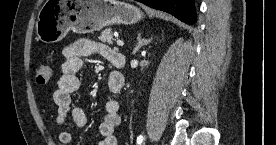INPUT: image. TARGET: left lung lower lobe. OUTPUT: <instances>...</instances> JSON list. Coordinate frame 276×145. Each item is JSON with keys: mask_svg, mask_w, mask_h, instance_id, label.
Returning <instances> with one entry per match:
<instances>
[{"mask_svg": "<svg viewBox=\"0 0 276 145\" xmlns=\"http://www.w3.org/2000/svg\"><path fill=\"white\" fill-rule=\"evenodd\" d=\"M151 8L173 14L187 24L195 22L194 0H136Z\"/></svg>", "mask_w": 276, "mask_h": 145, "instance_id": "0a47b994", "label": "left lung lower lobe"}]
</instances>
